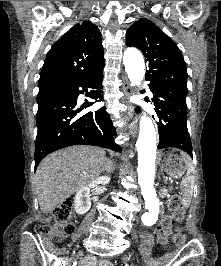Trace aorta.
I'll return each instance as SVG.
<instances>
[{
    "label": "aorta",
    "instance_id": "aorta-1",
    "mask_svg": "<svg viewBox=\"0 0 221 266\" xmlns=\"http://www.w3.org/2000/svg\"><path fill=\"white\" fill-rule=\"evenodd\" d=\"M123 63L131 86H139L145 75V63L142 54L133 48L124 52ZM156 131L152 120L143 114L140 118L139 137L136 142L138 151V181L146 208L142 220L145 224H153L159 213V201L154 188Z\"/></svg>",
    "mask_w": 221,
    "mask_h": 266
}]
</instances>
